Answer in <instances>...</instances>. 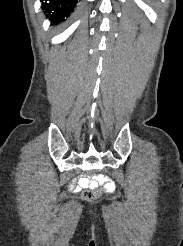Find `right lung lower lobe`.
<instances>
[{
  "instance_id": "right-lung-lower-lobe-1",
  "label": "right lung lower lobe",
  "mask_w": 183,
  "mask_h": 246,
  "mask_svg": "<svg viewBox=\"0 0 183 246\" xmlns=\"http://www.w3.org/2000/svg\"><path fill=\"white\" fill-rule=\"evenodd\" d=\"M42 9L50 18L52 25H58L70 16L74 11L77 0H40Z\"/></svg>"
}]
</instances>
